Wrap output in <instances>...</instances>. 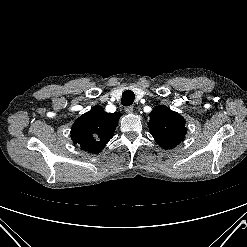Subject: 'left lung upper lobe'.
I'll return each instance as SVG.
<instances>
[{"label":"left lung upper lobe","mask_w":247,"mask_h":247,"mask_svg":"<svg viewBox=\"0 0 247 247\" xmlns=\"http://www.w3.org/2000/svg\"><path fill=\"white\" fill-rule=\"evenodd\" d=\"M148 126L155 141L164 149L180 144L187 132L184 118L165 106L152 110Z\"/></svg>","instance_id":"obj_1"}]
</instances>
